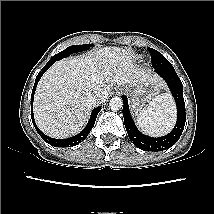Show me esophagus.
Segmentation results:
<instances>
[{
    "mask_svg": "<svg viewBox=\"0 0 214 214\" xmlns=\"http://www.w3.org/2000/svg\"><path fill=\"white\" fill-rule=\"evenodd\" d=\"M121 91H122V89H117L116 94L118 95Z\"/></svg>",
    "mask_w": 214,
    "mask_h": 214,
    "instance_id": "obj_1",
    "label": "esophagus"
}]
</instances>
